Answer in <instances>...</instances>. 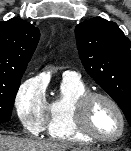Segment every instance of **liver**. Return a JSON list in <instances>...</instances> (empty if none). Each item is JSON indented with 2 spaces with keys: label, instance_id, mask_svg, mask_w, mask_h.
Returning <instances> with one entry per match:
<instances>
[{
  "label": "liver",
  "instance_id": "6515ba94",
  "mask_svg": "<svg viewBox=\"0 0 131 151\" xmlns=\"http://www.w3.org/2000/svg\"><path fill=\"white\" fill-rule=\"evenodd\" d=\"M70 148L71 146L65 143L0 135V151H67ZM75 150L81 151L82 149Z\"/></svg>",
  "mask_w": 131,
  "mask_h": 151
}]
</instances>
